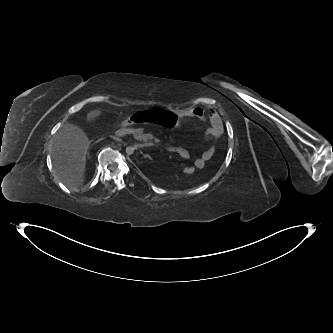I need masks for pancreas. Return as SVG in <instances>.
Returning <instances> with one entry per match:
<instances>
[{"label": "pancreas", "mask_w": 333, "mask_h": 333, "mask_svg": "<svg viewBox=\"0 0 333 333\" xmlns=\"http://www.w3.org/2000/svg\"><path fill=\"white\" fill-rule=\"evenodd\" d=\"M125 133L133 134L134 138L138 141L147 142L148 135L143 134L142 129H124Z\"/></svg>", "instance_id": "1"}]
</instances>
